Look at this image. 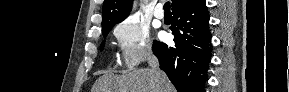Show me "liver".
Returning <instances> with one entry per match:
<instances>
[{"mask_svg": "<svg viewBox=\"0 0 289 92\" xmlns=\"http://www.w3.org/2000/svg\"><path fill=\"white\" fill-rule=\"evenodd\" d=\"M91 92H175V89L164 73L158 86L154 70L135 69L125 75L104 74Z\"/></svg>", "mask_w": 289, "mask_h": 92, "instance_id": "liver-1", "label": "liver"}]
</instances>
